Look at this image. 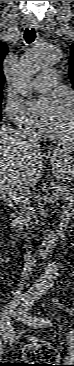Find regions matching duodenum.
<instances>
[{"label":"duodenum","mask_w":74,"mask_h":366,"mask_svg":"<svg viewBox=\"0 0 74 366\" xmlns=\"http://www.w3.org/2000/svg\"><path fill=\"white\" fill-rule=\"evenodd\" d=\"M55 243V236L53 234H47L44 237V242L42 244V250L46 251Z\"/></svg>","instance_id":"obj_1"}]
</instances>
